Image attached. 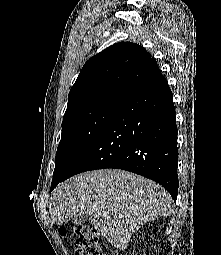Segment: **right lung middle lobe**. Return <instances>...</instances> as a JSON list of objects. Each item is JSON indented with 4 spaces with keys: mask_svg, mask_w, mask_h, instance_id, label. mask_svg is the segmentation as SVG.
<instances>
[{
    "mask_svg": "<svg viewBox=\"0 0 221 255\" xmlns=\"http://www.w3.org/2000/svg\"><path fill=\"white\" fill-rule=\"evenodd\" d=\"M118 107V104H103L78 111L63 119L51 186L69 172Z\"/></svg>",
    "mask_w": 221,
    "mask_h": 255,
    "instance_id": "1",
    "label": "right lung middle lobe"
}]
</instances>
